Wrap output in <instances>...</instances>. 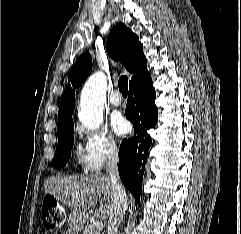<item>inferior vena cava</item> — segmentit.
<instances>
[{
  "label": "inferior vena cava",
  "mask_w": 241,
  "mask_h": 234,
  "mask_svg": "<svg viewBox=\"0 0 241 234\" xmlns=\"http://www.w3.org/2000/svg\"><path fill=\"white\" fill-rule=\"evenodd\" d=\"M106 176L110 180L113 194V205L108 221V234H117L127 208V195L119 177L118 150L115 144L110 146L107 153Z\"/></svg>",
  "instance_id": "inferior-vena-cava-1"
}]
</instances>
